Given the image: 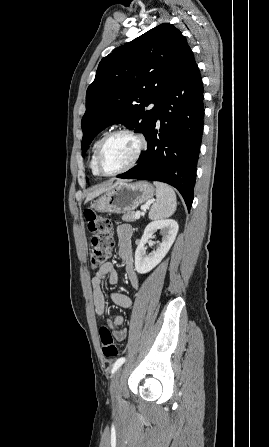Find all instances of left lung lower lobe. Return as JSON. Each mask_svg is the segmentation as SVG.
<instances>
[{"instance_id": "1", "label": "left lung lower lobe", "mask_w": 269, "mask_h": 447, "mask_svg": "<svg viewBox=\"0 0 269 447\" xmlns=\"http://www.w3.org/2000/svg\"><path fill=\"white\" fill-rule=\"evenodd\" d=\"M203 92L200 71L189 48L145 135L147 150L134 168L117 177L170 184L190 210L203 132ZM158 119L159 130L155 128Z\"/></svg>"}]
</instances>
